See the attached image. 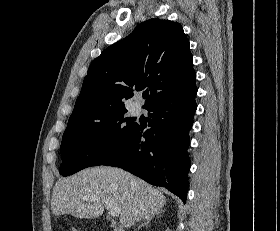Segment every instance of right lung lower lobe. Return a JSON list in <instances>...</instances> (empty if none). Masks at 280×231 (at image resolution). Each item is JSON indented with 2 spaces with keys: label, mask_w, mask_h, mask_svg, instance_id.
<instances>
[{
  "label": "right lung lower lobe",
  "mask_w": 280,
  "mask_h": 231,
  "mask_svg": "<svg viewBox=\"0 0 280 231\" xmlns=\"http://www.w3.org/2000/svg\"><path fill=\"white\" fill-rule=\"evenodd\" d=\"M196 93L195 85L150 105L151 129L143 132L137 125L101 165L123 168L150 184L166 187L185 203Z\"/></svg>",
  "instance_id": "obj_1"
}]
</instances>
